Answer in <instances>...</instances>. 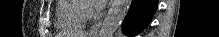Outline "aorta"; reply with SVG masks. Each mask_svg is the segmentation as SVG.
Returning a JSON list of instances; mask_svg holds the SVG:
<instances>
[{"mask_svg": "<svg viewBox=\"0 0 219 37\" xmlns=\"http://www.w3.org/2000/svg\"><path fill=\"white\" fill-rule=\"evenodd\" d=\"M131 6V0H113L112 5L102 23L99 37H113L128 9Z\"/></svg>", "mask_w": 219, "mask_h": 37, "instance_id": "762f6f07", "label": "aorta"}]
</instances>
